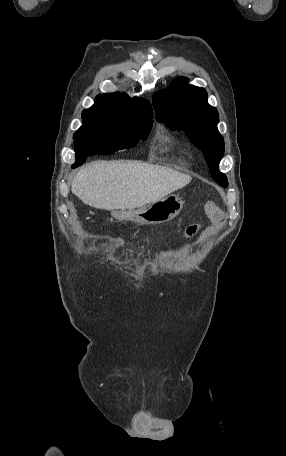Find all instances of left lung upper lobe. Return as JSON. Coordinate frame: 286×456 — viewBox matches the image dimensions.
Instances as JSON below:
<instances>
[{
    "label": "left lung upper lobe",
    "mask_w": 286,
    "mask_h": 456,
    "mask_svg": "<svg viewBox=\"0 0 286 456\" xmlns=\"http://www.w3.org/2000/svg\"><path fill=\"white\" fill-rule=\"evenodd\" d=\"M156 120L170 128L184 130L189 139L203 152L213 179L228 185L226 176L218 169L224 154V140L220 135L217 109L207 102L204 88L188 84L181 77L163 92L153 96Z\"/></svg>",
    "instance_id": "5c2ea615"
}]
</instances>
